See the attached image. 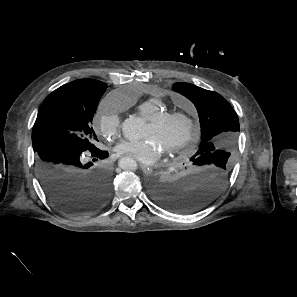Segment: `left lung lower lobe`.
<instances>
[{
	"instance_id": "obj_1",
	"label": "left lung lower lobe",
	"mask_w": 297,
	"mask_h": 297,
	"mask_svg": "<svg viewBox=\"0 0 297 297\" xmlns=\"http://www.w3.org/2000/svg\"><path fill=\"white\" fill-rule=\"evenodd\" d=\"M172 182H153L155 201L177 213H193L213 202L225 187L231 169L210 159L191 158Z\"/></svg>"
}]
</instances>
